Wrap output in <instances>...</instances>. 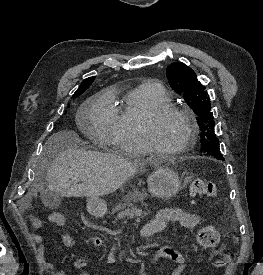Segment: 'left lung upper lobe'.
<instances>
[{
    "label": "left lung upper lobe",
    "instance_id": "obj_1",
    "mask_svg": "<svg viewBox=\"0 0 263 275\" xmlns=\"http://www.w3.org/2000/svg\"><path fill=\"white\" fill-rule=\"evenodd\" d=\"M166 76L171 88L184 96L189 107L197 115L198 125L202 130L201 149L216 158L221 157L206 88L197 80L195 72L182 62L170 64L166 69Z\"/></svg>",
    "mask_w": 263,
    "mask_h": 275
}]
</instances>
